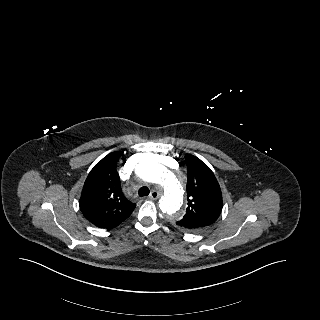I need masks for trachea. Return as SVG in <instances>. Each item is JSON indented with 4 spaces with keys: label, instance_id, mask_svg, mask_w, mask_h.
Returning a JSON list of instances; mask_svg holds the SVG:
<instances>
[{
    "label": "trachea",
    "instance_id": "3493384b",
    "mask_svg": "<svg viewBox=\"0 0 320 320\" xmlns=\"http://www.w3.org/2000/svg\"><path fill=\"white\" fill-rule=\"evenodd\" d=\"M149 193H150V190L146 186L141 187L138 191V194L140 197L148 196Z\"/></svg>",
    "mask_w": 320,
    "mask_h": 320
}]
</instances>
